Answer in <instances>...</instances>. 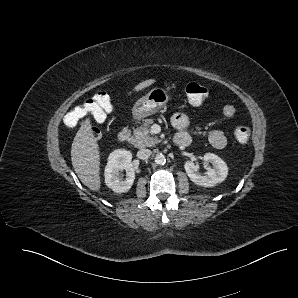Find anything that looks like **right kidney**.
<instances>
[{
	"mask_svg": "<svg viewBox=\"0 0 298 298\" xmlns=\"http://www.w3.org/2000/svg\"><path fill=\"white\" fill-rule=\"evenodd\" d=\"M132 153L127 149H114L107 156L104 169V179L106 185L117 193L128 191L134 181L135 173L131 167ZM125 169V178L118 177V170Z\"/></svg>",
	"mask_w": 298,
	"mask_h": 298,
	"instance_id": "obj_1",
	"label": "right kidney"
}]
</instances>
